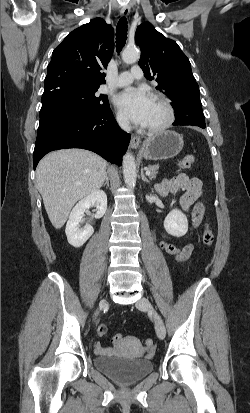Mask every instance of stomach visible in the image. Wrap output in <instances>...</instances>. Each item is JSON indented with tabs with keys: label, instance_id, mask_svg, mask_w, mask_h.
<instances>
[{
	"label": "stomach",
	"instance_id": "1",
	"mask_svg": "<svg viewBox=\"0 0 250 413\" xmlns=\"http://www.w3.org/2000/svg\"><path fill=\"white\" fill-rule=\"evenodd\" d=\"M183 145L182 135L167 130L145 139L140 153L146 160H165L178 155Z\"/></svg>",
	"mask_w": 250,
	"mask_h": 413
}]
</instances>
